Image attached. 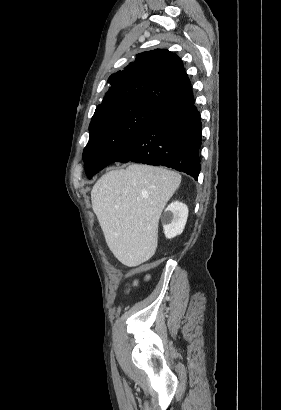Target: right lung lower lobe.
Instances as JSON below:
<instances>
[{
  "label": "right lung lower lobe",
  "instance_id": "right-lung-lower-lobe-1",
  "mask_svg": "<svg viewBox=\"0 0 281 410\" xmlns=\"http://www.w3.org/2000/svg\"><path fill=\"white\" fill-rule=\"evenodd\" d=\"M202 123L192 93L166 106L113 162L162 165L198 179Z\"/></svg>",
  "mask_w": 281,
  "mask_h": 410
}]
</instances>
